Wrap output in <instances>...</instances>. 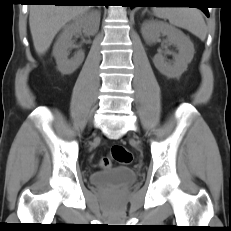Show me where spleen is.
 Instances as JSON below:
<instances>
[{
  "label": "spleen",
  "mask_w": 231,
  "mask_h": 231,
  "mask_svg": "<svg viewBox=\"0 0 231 231\" xmlns=\"http://www.w3.org/2000/svg\"><path fill=\"white\" fill-rule=\"evenodd\" d=\"M153 13L159 18L168 19L174 26L188 30L202 41L206 38V24L201 12L196 8L155 7Z\"/></svg>",
  "instance_id": "1"
}]
</instances>
